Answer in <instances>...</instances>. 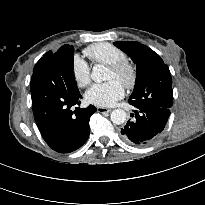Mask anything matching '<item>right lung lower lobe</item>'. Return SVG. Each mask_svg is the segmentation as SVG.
Listing matches in <instances>:
<instances>
[{
    "mask_svg": "<svg viewBox=\"0 0 205 205\" xmlns=\"http://www.w3.org/2000/svg\"><path fill=\"white\" fill-rule=\"evenodd\" d=\"M73 58L74 48L64 45L31 78L35 121L45 142L59 153L72 152L87 141L89 120L97 111L92 105L77 107L81 95L73 74Z\"/></svg>",
    "mask_w": 205,
    "mask_h": 205,
    "instance_id": "98d812e1",
    "label": "right lung lower lobe"
}]
</instances>
